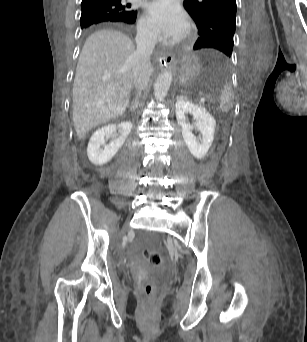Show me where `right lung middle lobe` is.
<instances>
[{
  "mask_svg": "<svg viewBox=\"0 0 307 342\" xmlns=\"http://www.w3.org/2000/svg\"><path fill=\"white\" fill-rule=\"evenodd\" d=\"M118 16V12L111 9H86L82 10L81 28L101 21L111 20Z\"/></svg>",
  "mask_w": 307,
  "mask_h": 342,
  "instance_id": "dd1d6c3e",
  "label": "right lung middle lobe"
}]
</instances>
